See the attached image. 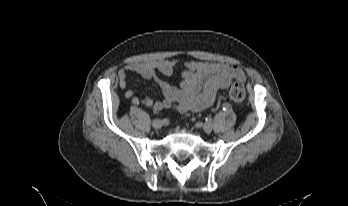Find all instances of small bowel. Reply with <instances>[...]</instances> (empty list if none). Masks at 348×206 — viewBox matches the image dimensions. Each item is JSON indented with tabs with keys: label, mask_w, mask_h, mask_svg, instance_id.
<instances>
[{
	"label": "small bowel",
	"mask_w": 348,
	"mask_h": 206,
	"mask_svg": "<svg viewBox=\"0 0 348 206\" xmlns=\"http://www.w3.org/2000/svg\"><path fill=\"white\" fill-rule=\"evenodd\" d=\"M183 66V80L174 86L159 77L171 76L176 67ZM134 72L146 79L155 81L161 89L162 99L154 102L150 97L139 99L135 90H127L125 97L131 99L136 106L150 107L154 112L173 108L180 113L201 111L213 104L220 89L227 88L232 81H244V71L235 65L212 62H184L169 60L131 63L118 72V83L121 89L127 87V75Z\"/></svg>",
	"instance_id": "c3829d8e"
}]
</instances>
